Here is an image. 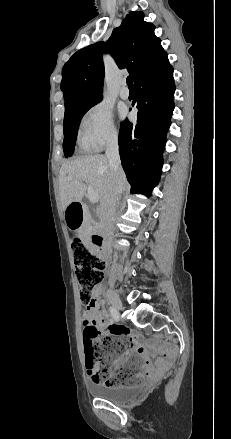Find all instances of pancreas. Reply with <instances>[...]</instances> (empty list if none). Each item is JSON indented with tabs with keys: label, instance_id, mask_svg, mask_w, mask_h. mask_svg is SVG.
<instances>
[{
	"label": "pancreas",
	"instance_id": "cf45deb5",
	"mask_svg": "<svg viewBox=\"0 0 231 439\" xmlns=\"http://www.w3.org/2000/svg\"><path fill=\"white\" fill-rule=\"evenodd\" d=\"M86 221H87L88 223H92L91 217H90L89 215L86 216Z\"/></svg>",
	"mask_w": 231,
	"mask_h": 439
}]
</instances>
